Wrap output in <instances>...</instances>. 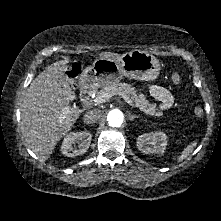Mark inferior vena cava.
Instances as JSON below:
<instances>
[{
  "label": "inferior vena cava",
  "instance_id": "obj_1",
  "mask_svg": "<svg viewBox=\"0 0 221 221\" xmlns=\"http://www.w3.org/2000/svg\"><path fill=\"white\" fill-rule=\"evenodd\" d=\"M99 117H100V110L94 109L86 112L83 117V120L87 124H92L95 123L99 119Z\"/></svg>",
  "mask_w": 221,
  "mask_h": 221
}]
</instances>
